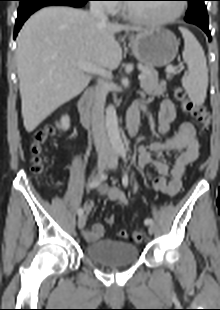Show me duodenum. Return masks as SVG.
Wrapping results in <instances>:
<instances>
[{
    "label": "duodenum",
    "instance_id": "duodenum-1",
    "mask_svg": "<svg viewBox=\"0 0 220 310\" xmlns=\"http://www.w3.org/2000/svg\"><path fill=\"white\" fill-rule=\"evenodd\" d=\"M95 95V91L93 89H87L78 103V109L81 116V123L82 125L87 128L91 129L94 125V117L91 109L92 101ZM138 112L131 110L128 113L127 119V132L130 137H134L138 131Z\"/></svg>",
    "mask_w": 220,
    "mask_h": 310
}]
</instances>
